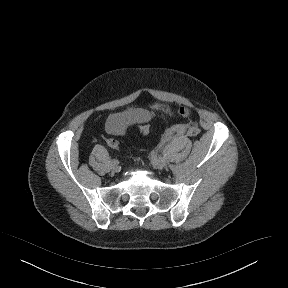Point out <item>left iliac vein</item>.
Returning a JSON list of instances; mask_svg holds the SVG:
<instances>
[{
	"label": "left iliac vein",
	"instance_id": "obj_1",
	"mask_svg": "<svg viewBox=\"0 0 288 288\" xmlns=\"http://www.w3.org/2000/svg\"><path fill=\"white\" fill-rule=\"evenodd\" d=\"M152 164L158 169H163L166 165V160L163 157H155L152 160Z\"/></svg>",
	"mask_w": 288,
	"mask_h": 288
}]
</instances>
